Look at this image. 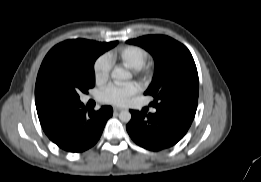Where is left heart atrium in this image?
Segmentation results:
<instances>
[{"label":"left heart atrium","instance_id":"left-heart-atrium-1","mask_svg":"<svg viewBox=\"0 0 261 182\" xmlns=\"http://www.w3.org/2000/svg\"><path fill=\"white\" fill-rule=\"evenodd\" d=\"M138 91L139 87L136 83H129L123 86L111 84L100 92L99 98L104 103L123 106L126 105Z\"/></svg>","mask_w":261,"mask_h":182}]
</instances>
